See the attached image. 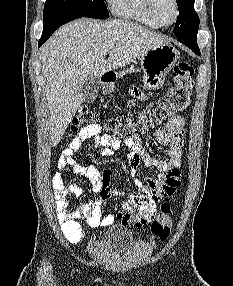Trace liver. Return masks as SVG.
Here are the masks:
<instances>
[{"mask_svg": "<svg viewBox=\"0 0 233 286\" xmlns=\"http://www.w3.org/2000/svg\"><path fill=\"white\" fill-rule=\"evenodd\" d=\"M167 43L165 37L123 19L102 22L82 18L61 27L41 48L52 145L61 141L81 107L82 85L88 76L101 77L125 67ZM106 47L110 49L105 51Z\"/></svg>", "mask_w": 233, "mask_h": 286, "instance_id": "1", "label": "liver"}]
</instances>
